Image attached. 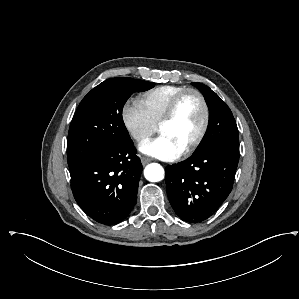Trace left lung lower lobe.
<instances>
[{
  "label": "left lung lower lobe",
  "mask_w": 299,
  "mask_h": 299,
  "mask_svg": "<svg viewBox=\"0 0 299 299\" xmlns=\"http://www.w3.org/2000/svg\"><path fill=\"white\" fill-rule=\"evenodd\" d=\"M238 161L239 152L217 147L168 165L167 195L176 214L188 222L206 220L231 192Z\"/></svg>",
  "instance_id": "left-lung-lower-lobe-1"
}]
</instances>
